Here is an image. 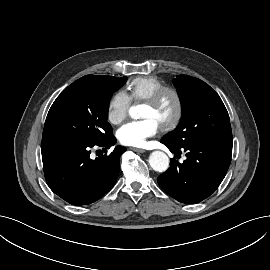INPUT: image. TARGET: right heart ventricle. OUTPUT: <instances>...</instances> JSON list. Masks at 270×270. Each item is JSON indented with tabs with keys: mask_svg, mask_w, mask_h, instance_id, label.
Returning <instances> with one entry per match:
<instances>
[{
	"mask_svg": "<svg viewBox=\"0 0 270 270\" xmlns=\"http://www.w3.org/2000/svg\"><path fill=\"white\" fill-rule=\"evenodd\" d=\"M162 86L164 82L156 76L136 77L127 86L128 95L134 101H142Z\"/></svg>",
	"mask_w": 270,
	"mask_h": 270,
	"instance_id": "1",
	"label": "right heart ventricle"
}]
</instances>
